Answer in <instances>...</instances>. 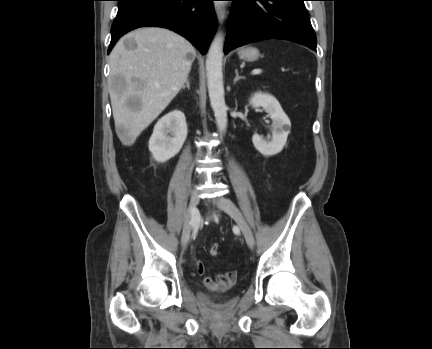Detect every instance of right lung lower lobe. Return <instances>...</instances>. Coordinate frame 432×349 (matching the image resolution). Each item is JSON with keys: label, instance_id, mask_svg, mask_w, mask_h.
Listing matches in <instances>:
<instances>
[{"label": "right lung lower lobe", "instance_id": "obj_1", "mask_svg": "<svg viewBox=\"0 0 432 349\" xmlns=\"http://www.w3.org/2000/svg\"><path fill=\"white\" fill-rule=\"evenodd\" d=\"M108 53L127 32L145 26L164 27L188 39L203 54L217 26L213 0H117Z\"/></svg>", "mask_w": 432, "mask_h": 349}]
</instances>
